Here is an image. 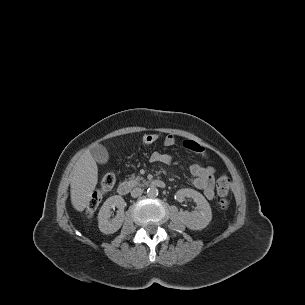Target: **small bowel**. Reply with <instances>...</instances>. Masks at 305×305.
<instances>
[{
	"label": "small bowel",
	"mask_w": 305,
	"mask_h": 305,
	"mask_svg": "<svg viewBox=\"0 0 305 305\" xmlns=\"http://www.w3.org/2000/svg\"><path fill=\"white\" fill-rule=\"evenodd\" d=\"M177 139L174 135H167L164 138V146L166 147H172L176 144ZM187 142H192L195 146L196 149H191L187 147ZM183 146L204 157L207 158V154L205 149L199 145L197 142L192 141V140H186L183 142ZM149 161L152 163H162V164H170L172 162V156L168 153H161V152H153L150 157ZM190 173L192 175V184L199 190H201L204 194V196L208 200H212L214 198V185H215V170L212 166H203L200 164H193L190 166Z\"/></svg>",
	"instance_id": "obj_1"
}]
</instances>
